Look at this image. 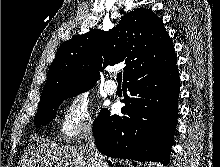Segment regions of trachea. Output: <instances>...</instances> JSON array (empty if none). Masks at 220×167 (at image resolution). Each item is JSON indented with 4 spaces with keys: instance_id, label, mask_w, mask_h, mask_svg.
<instances>
[{
    "instance_id": "obj_1",
    "label": "trachea",
    "mask_w": 220,
    "mask_h": 167,
    "mask_svg": "<svg viewBox=\"0 0 220 167\" xmlns=\"http://www.w3.org/2000/svg\"><path fill=\"white\" fill-rule=\"evenodd\" d=\"M117 81L119 83H121V81H122V73L121 72L117 74Z\"/></svg>"
}]
</instances>
